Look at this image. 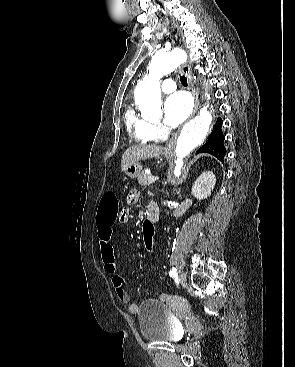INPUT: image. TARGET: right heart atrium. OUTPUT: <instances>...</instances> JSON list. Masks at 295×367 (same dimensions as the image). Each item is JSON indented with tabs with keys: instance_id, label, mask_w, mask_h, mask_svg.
I'll return each instance as SVG.
<instances>
[{
	"instance_id": "right-heart-atrium-1",
	"label": "right heart atrium",
	"mask_w": 295,
	"mask_h": 367,
	"mask_svg": "<svg viewBox=\"0 0 295 367\" xmlns=\"http://www.w3.org/2000/svg\"><path fill=\"white\" fill-rule=\"evenodd\" d=\"M152 131H153V134L154 136L159 139V138H162L166 135V129L163 125L161 124H152Z\"/></svg>"
}]
</instances>
